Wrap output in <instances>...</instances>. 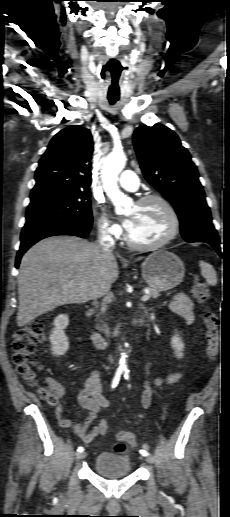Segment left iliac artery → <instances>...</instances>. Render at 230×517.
<instances>
[{"label": "left iliac artery", "instance_id": "obj_1", "mask_svg": "<svg viewBox=\"0 0 230 517\" xmlns=\"http://www.w3.org/2000/svg\"><path fill=\"white\" fill-rule=\"evenodd\" d=\"M125 378L129 379L128 370H126V372H125ZM140 454H142L143 456H148L149 455V453L146 450H144V449L140 450Z\"/></svg>", "mask_w": 230, "mask_h": 517}]
</instances>
